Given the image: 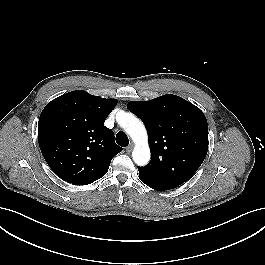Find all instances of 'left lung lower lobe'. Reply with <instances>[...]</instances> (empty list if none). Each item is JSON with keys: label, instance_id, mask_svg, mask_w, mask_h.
<instances>
[{"label": "left lung lower lobe", "instance_id": "left-lung-lower-lobe-1", "mask_svg": "<svg viewBox=\"0 0 265 265\" xmlns=\"http://www.w3.org/2000/svg\"><path fill=\"white\" fill-rule=\"evenodd\" d=\"M141 179V178H140ZM143 183H145L147 186L151 187L152 189L158 190V191H164L166 189L160 188L152 183L146 182L145 180L141 179Z\"/></svg>", "mask_w": 265, "mask_h": 265}]
</instances>
